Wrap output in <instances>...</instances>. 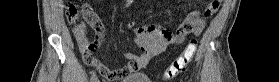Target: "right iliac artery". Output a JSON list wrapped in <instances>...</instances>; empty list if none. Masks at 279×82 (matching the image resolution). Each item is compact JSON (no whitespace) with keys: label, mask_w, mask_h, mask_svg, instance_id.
<instances>
[{"label":"right iliac artery","mask_w":279,"mask_h":82,"mask_svg":"<svg viewBox=\"0 0 279 82\" xmlns=\"http://www.w3.org/2000/svg\"><path fill=\"white\" fill-rule=\"evenodd\" d=\"M130 3H132V0H128L127 1L126 7H128L130 5ZM90 82H97V76H96V72L95 71L92 72V77H91Z\"/></svg>","instance_id":"right-iliac-artery-1"}]
</instances>
